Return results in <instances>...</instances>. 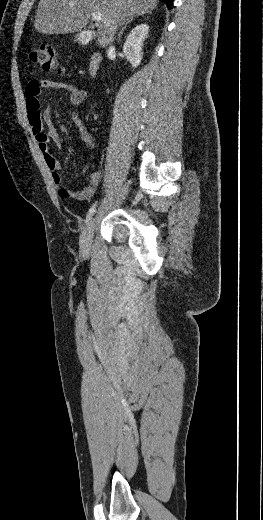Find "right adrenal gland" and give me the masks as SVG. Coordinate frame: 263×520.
Segmentation results:
<instances>
[{
    "mask_svg": "<svg viewBox=\"0 0 263 520\" xmlns=\"http://www.w3.org/2000/svg\"><path fill=\"white\" fill-rule=\"evenodd\" d=\"M147 13H148V14H151L150 11L147 12ZM143 15H144V14H137V15L131 17L130 20H128V21L126 22L125 26L121 29V31H120V33H119V39H120L121 35L123 34L124 30L126 29L127 25H128L130 22H132L133 19H134L135 17H139V16H143Z\"/></svg>",
    "mask_w": 263,
    "mask_h": 520,
    "instance_id": "obj_1",
    "label": "right adrenal gland"
}]
</instances>
